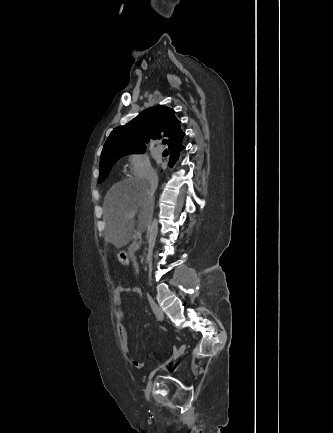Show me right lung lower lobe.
<instances>
[{"label": "right lung lower lobe", "instance_id": "obj_1", "mask_svg": "<svg viewBox=\"0 0 333 433\" xmlns=\"http://www.w3.org/2000/svg\"><path fill=\"white\" fill-rule=\"evenodd\" d=\"M184 148H185V147H184L183 145H180V146H177V147H175V148H173V149L170 150V154H171L170 162H169L170 167H172V166L176 163V161H177L178 158H179V154H180V152H181Z\"/></svg>", "mask_w": 333, "mask_h": 433}]
</instances>
